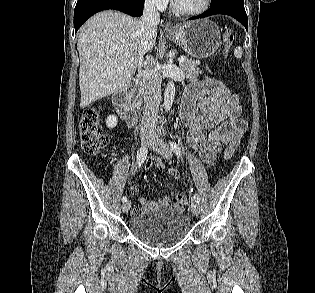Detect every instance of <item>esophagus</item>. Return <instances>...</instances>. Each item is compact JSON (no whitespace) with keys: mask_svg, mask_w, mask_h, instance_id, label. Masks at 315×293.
<instances>
[{"mask_svg":"<svg viewBox=\"0 0 315 293\" xmlns=\"http://www.w3.org/2000/svg\"><path fill=\"white\" fill-rule=\"evenodd\" d=\"M165 33H171L174 31L173 26L170 21H166L163 27Z\"/></svg>","mask_w":315,"mask_h":293,"instance_id":"1","label":"esophagus"}]
</instances>
